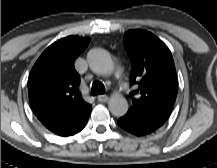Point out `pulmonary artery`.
<instances>
[{
	"instance_id": "obj_1",
	"label": "pulmonary artery",
	"mask_w": 217,
	"mask_h": 168,
	"mask_svg": "<svg viewBox=\"0 0 217 168\" xmlns=\"http://www.w3.org/2000/svg\"><path fill=\"white\" fill-rule=\"evenodd\" d=\"M115 77L119 79L121 77V69L118 67L115 70Z\"/></svg>"
}]
</instances>
